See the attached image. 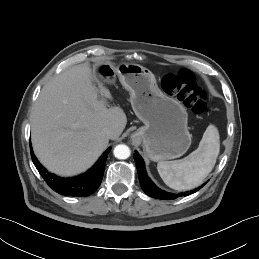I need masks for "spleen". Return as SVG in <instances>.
<instances>
[{
    "label": "spleen",
    "instance_id": "obj_1",
    "mask_svg": "<svg viewBox=\"0 0 259 259\" xmlns=\"http://www.w3.org/2000/svg\"><path fill=\"white\" fill-rule=\"evenodd\" d=\"M220 150L218 129L209 125L198 148L187 157L174 161H159L157 170L164 183L175 190H190L199 186L212 171Z\"/></svg>",
    "mask_w": 259,
    "mask_h": 259
}]
</instances>
